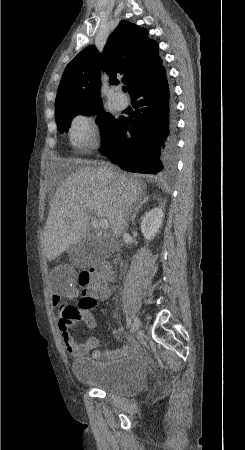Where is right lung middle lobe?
Here are the masks:
<instances>
[{"instance_id": "right-lung-middle-lobe-1", "label": "right lung middle lobe", "mask_w": 245, "mask_h": 450, "mask_svg": "<svg viewBox=\"0 0 245 450\" xmlns=\"http://www.w3.org/2000/svg\"><path fill=\"white\" fill-rule=\"evenodd\" d=\"M100 112L98 117L100 124H103L106 131V139L104 146L112 141V136L115 132L117 123L120 119H115L110 113L104 112L102 105H81V104H61L55 106V117L57 127L60 132L67 131L70 121L78 114L92 115Z\"/></svg>"}]
</instances>
